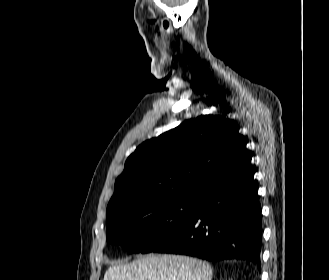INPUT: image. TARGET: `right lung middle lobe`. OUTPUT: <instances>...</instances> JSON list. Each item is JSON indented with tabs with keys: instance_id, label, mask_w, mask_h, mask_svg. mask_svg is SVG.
Here are the masks:
<instances>
[{
	"instance_id": "1",
	"label": "right lung middle lobe",
	"mask_w": 329,
	"mask_h": 280,
	"mask_svg": "<svg viewBox=\"0 0 329 280\" xmlns=\"http://www.w3.org/2000/svg\"><path fill=\"white\" fill-rule=\"evenodd\" d=\"M200 197L150 196L107 208L106 236L129 253H148L172 238L198 208Z\"/></svg>"
}]
</instances>
